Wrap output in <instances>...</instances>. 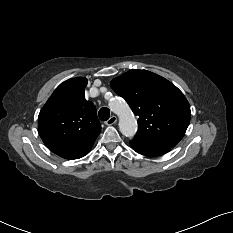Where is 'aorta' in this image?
<instances>
[{
	"instance_id": "obj_1",
	"label": "aorta",
	"mask_w": 233,
	"mask_h": 233,
	"mask_svg": "<svg viewBox=\"0 0 233 233\" xmlns=\"http://www.w3.org/2000/svg\"><path fill=\"white\" fill-rule=\"evenodd\" d=\"M110 108L119 117L120 132L126 137H133L137 132V121L128 104L121 98H115Z\"/></svg>"
}]
</instances>
